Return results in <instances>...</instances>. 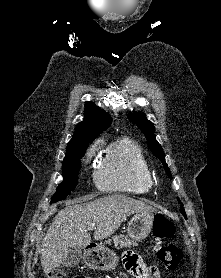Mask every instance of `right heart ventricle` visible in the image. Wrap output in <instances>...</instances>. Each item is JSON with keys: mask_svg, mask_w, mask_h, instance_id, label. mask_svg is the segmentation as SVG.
Wrapping results in <instances>:
<instances>
[{"mask_svg": "<svg viewBox=\"0 0 221 278\" xmlns=\"http://www.w3.org/2000/svg\"><path fill=\"white\" fill-rule=\"evenodd\" d=\"M95 182L104 192L148 193L153 178L141 146L129 138L112 143L96 166Z\"/></svg>", "mask_w": 221, "mask_h": 278, "instance_id": "right-heart-ventricle-1", "label": "right heart ventricle"}]
</instances>
